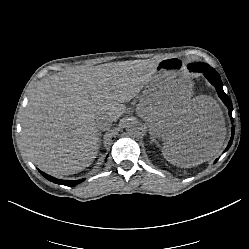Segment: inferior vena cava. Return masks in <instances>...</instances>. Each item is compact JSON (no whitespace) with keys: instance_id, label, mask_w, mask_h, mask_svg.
I'll list each match as a JSON object with an SVG mask.
<instances>
[{"instance_id":"obj_1","label":"inferior vena cava","mask_w":249,"mask_h":249,"mask_svg":"<svg viewBox=\"0 0 249 249\" xmlns=\"http://www.w3.org/2000/svg\"><path fill=\"white\" fill-rule=\"evenodd\" d=\"M112 119L107 115H101L96 119V126L98 130L106 131L109 130L112 126Z\"/></svg>"}]
</instances>
